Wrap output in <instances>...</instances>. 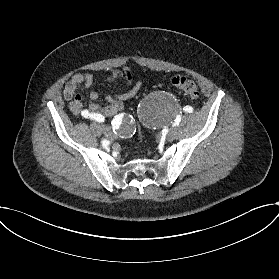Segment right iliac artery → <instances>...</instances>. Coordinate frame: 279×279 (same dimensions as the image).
<instances>
[{"label": "right iliac artery", "instance_id": "82829eb1", "mask_svg": "<svg viewBox=\"0 0 279 279\" xmlns=\"http://www.w3.org/2000/svg\"><path fill=\"white\" fill-rule=\"evenodd\" d=\"M80 116L82 118H84L85 120H89L90 118H92L94 121L104 122V117L102 115H100V114L93 115L92 113H89L86 110H83L80 113ZM111 124H112L113 128L122 129L126 125V120L122 116H115V118L112 120Z\"/></svg>", "mask_w": 279, "mask_h": 279}]
</instances>
